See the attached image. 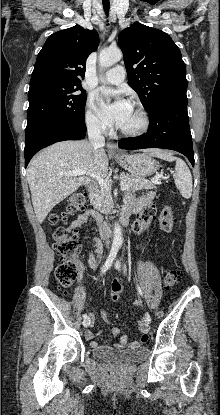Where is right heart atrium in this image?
<instances>
[{"instance_id":"d8ad5b80","label":"right heart atrium","mask_w":220,"mask_h":415,"mask_svg":"<svg viewBox=\"0 0 220 415\" xmlns=\"http://www.w3.org/2000/svg\"><path fill=\"white\" fill-rule=\"evenodd\" d=\"M84 118L87 127L93 132L104 133L107 130L106 123L96 113L94 101L91 96L86 100Z\"/></svg>"}]
</instances>
